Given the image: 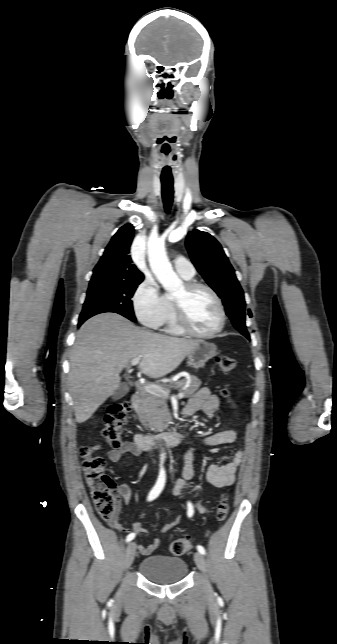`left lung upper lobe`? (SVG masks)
I'll return each mask as SVG.
<instances>
[{"mask_svg": "<svg viewBox=\"0 0 337 644\" xmlns=\"http://www.w3.org/2000/svg\"><path fill=\"white\" fill-rule=\"evenodd\" d=\"M186 248L198 272L222 299L234 327L250 339L245 325L244 293L219 242L209 233L194 230L188 233ZM248 315L252 316L250 310Z\"/></svg>", "mask_w": 337, "mask_h": 644, "instance_id": "obj_1", "label": "left lung upper lobe"}]
</instances>
